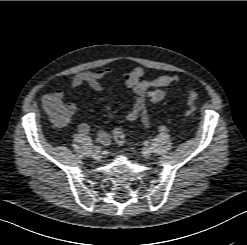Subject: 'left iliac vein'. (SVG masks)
<instances>
[{"instance_id":"1","label":"left iliac vein","mask_w":247,"mask_h":245,"mask_svg":"<svg viewBox=\"0 0 247 245\" xmlns=\"http://www.w3.org/2000/svg\"><path fill=\"white\" fill-rule=\"evenodd\" d=\"M152 154V149L150 147H144L142 149V155L145 157V158H149Z\"/></svg>"}]
</instances>
